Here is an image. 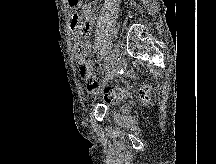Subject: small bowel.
Returning <instances> with one entry per match:
<instances>
[{"label": "small bowel", "mask_w": 216, "mask_h": 164, "mask_svg": "<svg viewBox=\"0 0 216 164\" xmlns=\"http://www.w3.org/2000/svg\"><path fill=\"white\" fill-rule=\"evenodd\" d=\"M72 22L73 36L75 40V60L79 64L95 71L96 67L94 62L88 58L91 53V44L88 40V35L91 33L95 22V15L92 6L90 4L84 5L80 13L75 14L72 17Z\"/></svg>", "instance_id": "1"}]
</instances>
